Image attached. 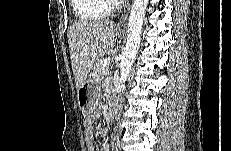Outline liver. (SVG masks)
I'll use <instances>...</instances> for the list:
<instances>
[{
    "instance_id": "obj_1",
    "label": "liver",
    "mask_w": 231,
    "mask_h": 151,
    "mask_svg": "<svg viewBox=\"0 0 231 151\" xmlns=\"http://www.w3.org/2000/svg\"><path fill=\"white\" fill-rule=\"evenodd\" d=\"M67 35L78 90L95 62L112 48L115 40L114 24L109 20L81 21L70 26Z\"/></svg>"
}]
</instances>
